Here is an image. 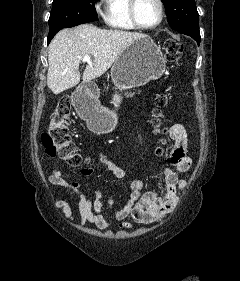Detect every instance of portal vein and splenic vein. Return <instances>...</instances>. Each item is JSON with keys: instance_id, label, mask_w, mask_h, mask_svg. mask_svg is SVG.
I'll return each mask as SVG.
<instances>
[{"instance_id": "portal-vein-and-splenic-vein-1", "label": "portal vein and splenic vein", "mask_w": 240, "mask_h": 281, "mask_svg": "<svg viewBox=\"0 0 240 281\" xmlns=\"http://www.w3.org/2000/svg\"><path fill=\"white\" fill-rule=\"evenodd\" d=\"M82 61L88 63L90 66L93 65V63H92L91 58H90L89 55H85V56L82 58Z\"/></svg>"}]
</instances>
